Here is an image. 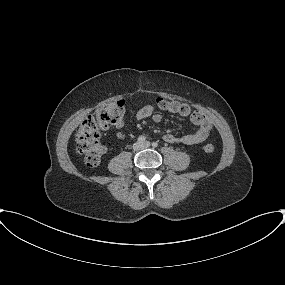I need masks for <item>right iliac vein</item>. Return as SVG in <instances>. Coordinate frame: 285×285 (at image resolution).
Masks as SVG:
<instances>
[{
    "instance_id": "1",
    "label": "right iliac vein",
    "mask_w": 285,
    "mask_h": 285,
    "mask_svg": "<svg viewBox=\"0 0 285 285\" xmlns=\"http://www.w3.org/2000/svg\"><path fill=\"white\" fill-rule=\"evenodd\" d=\"M142 145L140 143H135L134 146H133V149L136 150V151H139L142 149Z\"/></svg>"
}]
</instances>
